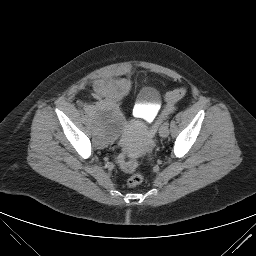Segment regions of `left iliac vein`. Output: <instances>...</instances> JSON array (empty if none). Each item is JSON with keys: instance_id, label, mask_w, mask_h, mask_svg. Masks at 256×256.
Returning <instances> with one entry per match:
<instances>
[{"instance_id": "1", "label": "left iliac vein", "mask_w": 256, "mask_h": 256, "mask_svg": "<svg viewBox=\"0 0 256 256\" xmlns=\"http://www.w3.org/2000/svg\"><path fill=\"white\" fill-rule=\"evenodd\" d=\"M159 135L163 138H166L169 135V126L168 124L161 125L159 129Z\"/></svg>"}]
</instances>
